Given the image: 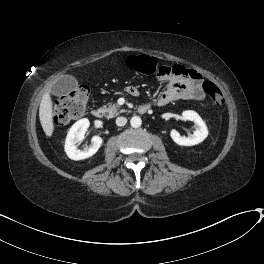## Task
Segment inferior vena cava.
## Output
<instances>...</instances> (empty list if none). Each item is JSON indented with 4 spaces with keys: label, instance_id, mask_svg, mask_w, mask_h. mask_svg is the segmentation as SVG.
<instances>
[{
    "label": "inferior vena cava",
    "instance_id": "1",
    "mask_svg": "<svg viewBox=\"0 0 264 264\" xmlns=\"http://www.w3.org/2000/svg\"><path fill=\"white\" fill-rule=\"evenodd\" d=\"M127 123V119L125 117H118L116 119L117 126H124Z\"/></svg>",
    "mask_w": 264,
    "mask_h": 264
}]
</instances>
